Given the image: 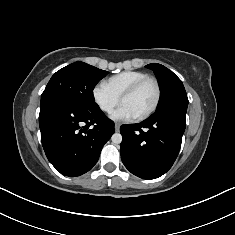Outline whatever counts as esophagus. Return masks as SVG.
<instances>
[{"label": "esophagus", "instance_id": "obj_1", "mask_svg": "<svg viewBox=\"0 0 235 235\" xmlns=\"http://www.w3.org/2000/svg\"><path fill=\"white\" fill-rule=\"evenodd\" d=\"M120 129V124L119 123H115V131L118 132Z\"/></svg>", "mask_w": 235, "mask_h": 235}]
</instances>
